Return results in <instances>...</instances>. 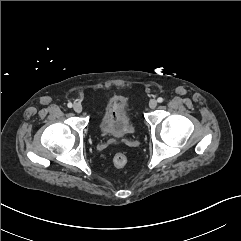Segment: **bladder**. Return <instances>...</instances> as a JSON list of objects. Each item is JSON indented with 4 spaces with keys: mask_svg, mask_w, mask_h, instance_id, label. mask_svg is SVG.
I'll return each instance as SVG.
<instances>
[{
    "mask_svg": "<svg viewBox=\"0 0 241 241\" xmlns=\"http://www.w3.org/2000/svg\"><path fill=\"white\" fill-rule=\"evenodd\" d=\"M98 128L103 135L115 139L127 138L134 134L135 126L130 107L123 97L115 96L109 100Z\"/></svg>",
    "mask_w": 241,
    "mask_h": 241,
    "instance_id": "1",
    "label": "bladder"
}]
</instances>
